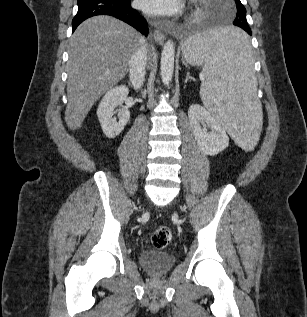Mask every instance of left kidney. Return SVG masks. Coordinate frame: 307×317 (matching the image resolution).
Here are the masks:
<instances>
[{
  "instance_id": "1",
  "label": "left kidney",
  "mask_w": 307,
  "mask_h": 317,
  "mask_svg": "<svg viewBox=\"0 0 307 317\" xmlns=\"http://www.w3.org/2000/svg\"><path fill=\"white\" fill-rule=\"evenodd\" d=\"M188 117L199 147L208 155H216L229 144V137L224 127L199 104H192ZM207 127L211 130L208 132Z\"/></svg>"
}]
</instances>
